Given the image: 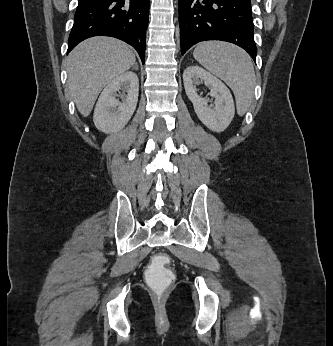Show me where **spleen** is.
Returning <instances> with one entry per match:
<instances>
[{
  "instance_id": "1",
  "label": "spleen",
  "mask_w": 333,
  "mask_h": 346,
  "mask_svg": "<svg viewBox=\"0 0 333 346\" xmlns=\"http://www.w3.org/2000/svg\"><path fill=\"white\" fill-rule=\"evenodd\" d=\"M193 56L232 89L237 112L243 116L253 100L256 81L250 56L236 45L220 41L200 43Z\"/></svg>"
}]
</instances>
